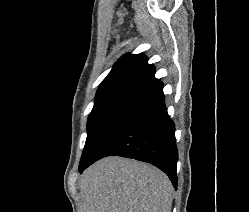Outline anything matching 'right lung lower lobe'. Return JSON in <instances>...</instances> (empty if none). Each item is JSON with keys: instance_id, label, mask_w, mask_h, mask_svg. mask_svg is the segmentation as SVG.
<instances>
[{"instance_id": "1", "label": "right lung lower lobe", "mask_w": 249, "mask_h": 212, "mask_svg": "<svg viewBox=\"0 0 249 212\" xmlns=\"http://www.w3.org/2000/svg\"><path fill=\"white\" fill-rule=\"evenodd\" d=\"M106 156L151 163L177 185L175 125L164 103L163 85L133 100L109 125L79 172Z\"/></svg>"}]
</instances>
